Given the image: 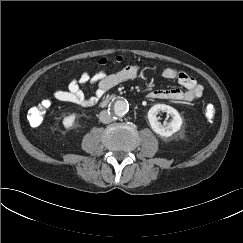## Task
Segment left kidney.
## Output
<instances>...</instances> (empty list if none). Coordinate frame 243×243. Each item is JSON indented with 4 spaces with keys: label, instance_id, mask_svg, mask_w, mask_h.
Returning a JSON list of instances; mask_svg holds the SVG:
<instances>
[{
    "label": "left kidney",
    "instance_id": "1",
    "mask_svg": "<svg viewBox=\"0 0 243 243\" xmlns=\"http://www.w3.org/2000/svg\"><path fill=\"white\" fill-rule=\"evenodd\" d=\"M160 111L166 112L172 117V120L169 123L164 122L162 125L157 118V115ZM148 120L152 130L161 137L166 138L179 131L182 125V118L178 111L173 107L165 104H156L151 107L148 112Z\"/></svg>",
    "mask_w": 243,
    "mask_h": 243
}]
</instances>
